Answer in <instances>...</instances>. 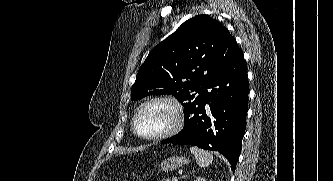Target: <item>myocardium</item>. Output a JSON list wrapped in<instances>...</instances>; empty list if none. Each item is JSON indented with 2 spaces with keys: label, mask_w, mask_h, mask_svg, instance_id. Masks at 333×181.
<instances>
[{
  "label": "myocardium",
  "mask_w": 333,
  "mask_h": 181,
  "mask_svg": "<svg viewBox=\"0 0 333 181\" xmlns=\"http://www.w3.org/2000/svg\"><path fill=\"white\" fill-rule=\"evenodd\" d=\"M156 102L166 103L171 106V108L173 109V112H174V122L169 129H167L166 131H164L160 134H157L154 136H143L138 132V130L136 128L137 118L145 107H147L148 105H151L153 103H156ZM183 123H184V109H183V106L181 105V103L172 96L158 95V96H154V97H151V98L145 100L137 108V110L133 116V119H132L131 127H132L133 133L138 138H140L142 140H146V141H159V140L166 139V138L171 137L174 134H176L182 128Z\"/></svg>",
  "instance_id": "f54148a6"
}]
</instances>
